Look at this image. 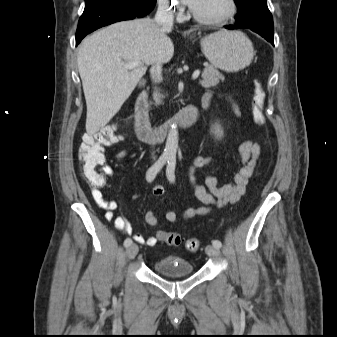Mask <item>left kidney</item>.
<instances>
[{"instance_id": "5707ae66", "label": "left kidney", "mask_w": 337, "mask_h": 337, "mask_svg": "<svg viewBox=\"0 0 337 337\" xmlns=\"http://www.w3.org/2000/svg\"><path fill=\"white\" fill-rule=\"evenodd\" d=\"M215 134L221 136L223 134L222 130L219 128V126L215 127Z\"/></svg>"}]
</instances>
